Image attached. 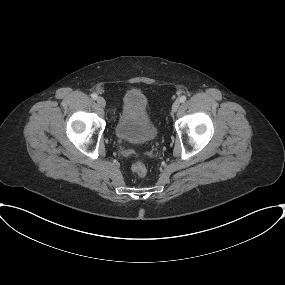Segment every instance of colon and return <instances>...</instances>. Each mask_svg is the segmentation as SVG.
<instances>
[{"label":"colon","mask_w":285,"mask_h":285,"mask_svg":"<svg viewBox=\"0 0 285 285\" xmlns=\"http://www.w3.org/2000/svg\"><path fill=\"white\" fill-rule=\"evenodd\" d=\"M131 169L139 177H145L147 175V168L141 162L133 163Z\"/></svg>","instance_id":"5ec220e1"}]
</instances>
